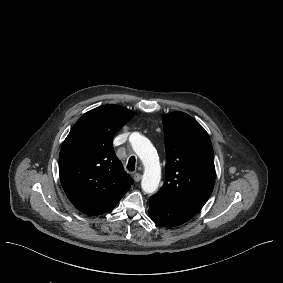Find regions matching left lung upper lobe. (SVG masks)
Listing matches in <instances>:
<instances>
[{
  "instance_id": "5c2ea615",
  "label": "left lung upper lobe",
  "mask_w": 283,
  "mask_h": 283,
  "mask_svg": "<svg viewBox=\"0 0 283 283\" xmlns=\"http://www.w3.org/2000/svg\"><path fill=\"white\" fill-rule=\"evenodd\" d=\"M166 148L165 183L156 193L201 208L215 182L214 153L205 129L183 112L162 117Z\"/></svg>"
}]
</instances>
